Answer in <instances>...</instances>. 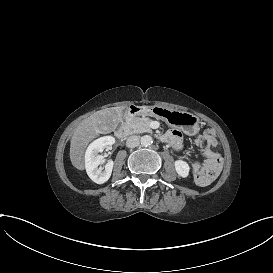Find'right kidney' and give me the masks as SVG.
Returning a JSON list of instances; mask_svg holds the SVG:
<instances>
[{
    "instance_id": "obj_1",
    "label": "right kidney",
    "mask_w": 273,
    "mask_h": 273,
    "mask_svg": "<svg viewBox=\"0 0 273 273\" xmlns=\"http://www.w3.org/2000/svg\"><path fill=\"white\" fill-rule=\"evenodd\" d=\"M115 138L112 136L100 137L93 141L87 148L85 153V168L88 176L97 184L105 183L111 176L113 169V161L108 160L105 169L102 170L98 166L103 162V156L99 153L103 152L108 145H113Z\"/></svg>"
}]
</instances>
